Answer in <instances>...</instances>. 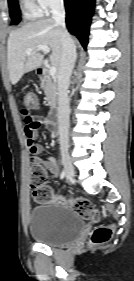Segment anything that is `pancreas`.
<instances>
[{
	"label": "pancreas",
	"mask_w": 134,
	"mask_h": 281,
	"mask_svg": "<svg viewBox=\"0 0 134 281\" xmlns=\"http://www.w3.org/2000/svg\"><path fill=\"white\" fill-rule=\"evenodd\" d=\"M41 88L45 93L47 105L50 106L51 109L55 108L57 104L58 90L56 80L50 75H45L41 82Z\"/></svg>",
	"instance_id": "1"
}]
</instances>
